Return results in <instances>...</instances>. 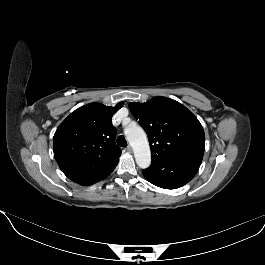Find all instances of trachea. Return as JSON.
<instances>
[{
	"label": "trachea",
	"instance_id": "3493384b",
	"mask_svg": "<svg viewBox=\"0 0 265 265\" xmlns=\"http://www.w3.org/2000/svg\"><path fill=\"white\" fill-rule=\"evenodd\" d=\"M117 144L121 147H127V141L126 139L124 138V136L120 135L118 138H117Z\"/></svg>",
	"mask_w": 265,
	"mask_h": 265
}]
</instances>
